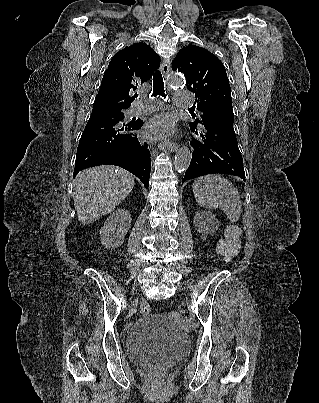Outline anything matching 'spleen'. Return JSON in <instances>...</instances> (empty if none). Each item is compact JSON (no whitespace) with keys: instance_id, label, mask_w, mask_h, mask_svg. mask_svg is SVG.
Wrapping results in <instances>:
<instances>
[{"instance_id":"1","label":"spleen","mask_w":319,"mask_h":403,"mask_svg":"<svg viewBox=\"0 0 319 403\" xmlns=\"http://www.w3.org/2000/svg\"><path fill=\"white\" fill-rule=\"evenodd\" d=\"M192 190L199 206L221 208L231 222H237L242 212L241 198L232 182L220 174L197 178Z\"/></svg>"}]
</instances>
